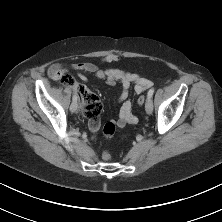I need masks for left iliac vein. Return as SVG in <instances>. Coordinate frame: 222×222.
Here are the masks:
<instances>
[{"label": "left iliac vein", "mask_w": 222, "mask_h": 222, "mask_svg": "<svg viewBox=\"0 0 222 222\" xmlns=\"http://www.w3.org/2000/svg\"><path fill=\"white\" fill-rule=\"evenodd\" d=\"M145 110H146L147 114H151L153 111V102L150 97H148L146 100Z\"/></svg>", "instance_id": "left-iliac-vein-1"}]
</instances>
